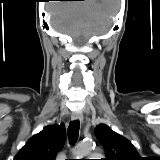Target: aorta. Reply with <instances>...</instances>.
<instances>
[{
	"label": "aorta",
	"mask_w": 160,
	"mask_h": 160,
	"mask_svg": "<svg viewBox=\"0 0 160 160\" xmlns=\"http://www.w3.org/2000/svg\"><path fill=\"white\" fill-rule=\"evenodd\" d=\"M92 148H93V144L91 141H83L78 144V146L75 149L74 154L77 157H84L92 150Z\"/></svg>",
	"instance_id": "obj_1"
}]
</instances>
